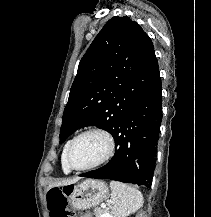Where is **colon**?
<instances>
[{
  "instance_id": "5ec220e1",
  "label": "colon",
  "mask_w": 211,
  "mask_h": 217,
  "mask_svg": "<svg viewBox=\"0 0 211 217\" xmlns=\"http://www.w3.org/2000/svg\"><path fill=\"white\" fill-rule=\"evenodd\" d=\"M69 188H54L48 192L47 206L50 217H70L69 210L67 208V196L70 194ZM91 217L89 214H86Z\"/></svg>"
}]
</instances>
